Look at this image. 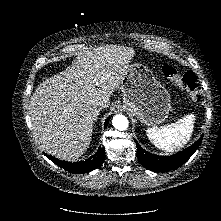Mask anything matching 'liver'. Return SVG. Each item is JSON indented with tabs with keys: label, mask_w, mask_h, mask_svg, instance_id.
Wrapping results in <instances>:
<instances>
[{
	"label": "liver",
	"mask_w": 221,
	"mask_h": 221,
	"mask_svg": "<svg viewBox=\"0 0 221 221\" xmlns=\"http://www.w3.org/2000/svg\"><path fill=\"white\" fill-rule=\"evenodd\" d=\"M132 48L104 45L83 53L66 70L43 81L31 96L35 139L48 154L74 161L88 149L99 109L119 88L134 57Z\"/></svg>",
	"instance_id": "1"
}]
</instances>
